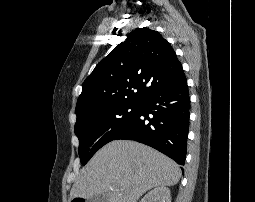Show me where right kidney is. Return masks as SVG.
<instances>
[{
    "label": "right kidney",
    "instance_id": "right-kidney-1",
    "mask_svg": "<svg viewBox=\"0 0 255 202\" xmlns=\"http://www.w3.org/2000/svg\"><path fill=\"white\" fill-rule=\"evenodd\" d=\"M140 202H171L170 190L161 186L148 192Z\"/></svg>",
    "mask_w": 255,
    "mask_h": 202
}]
</instances>
